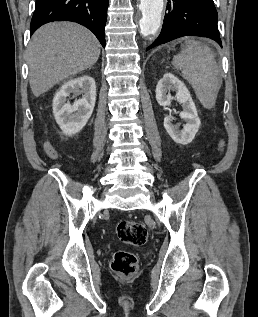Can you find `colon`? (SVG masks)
Masks as SVG:
<instances>
[{
	"mask_svg": "<svg viewBox=\"0 0 258 317\" xmlns=\"http://www.w3.org/2000/svg\"><path fill=\"white\" fill-rule=\"evenodd\" d=\"M223 148V143L219 146ZM117 236L125 244L140 246L148 238V233L142 223L121 221L117 226ZM111 269L122 276H131L138 270V260L135 254L127 250L116 251L110 261Z\"/></svg>",
	"mask_w": 258,
	"mask_h": 317,
	"instance_id": "colon-1",
	"label": "colon"
}]
</instances>
